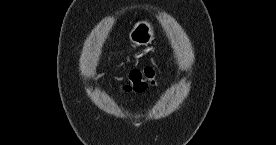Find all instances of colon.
<instances>
[{
    "mask_svg": "<svg viewBox=\"0 0 276 145\" xmlns=\"http://www.w3.org/2000/svg\"><path fill=\"white\" fill-rule=\"evenodd\" d=\"M156 75V70L151 66L133 68L128 72L127 83L123 89L127 92H143L154 84Z\"/></svg>",
    "mask_w": 276,
    "mask_h": 145,
    "instance_id": "colon-1",
    "label": "colon"
}]
</instances>
